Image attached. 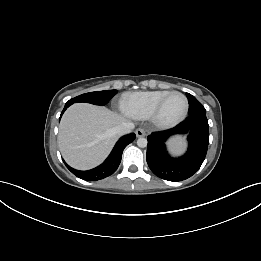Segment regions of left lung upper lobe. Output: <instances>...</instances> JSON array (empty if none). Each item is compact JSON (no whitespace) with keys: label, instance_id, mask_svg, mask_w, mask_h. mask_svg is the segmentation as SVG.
<instances>
[{"label":"left lung upper lobe","instance_id":"5c2ea615","mask_svg":"<svg viewBox=\"0 0 261 261\" xmlns=\"http://www.w3.org/2000/svg\"><path fill=\"white\" fill-rule=\"evenodd\" d=\"M189 102V112L188 114H195V113H203L206 114V110L204 106L191 94L186 93Z\"/></svg>","mask_w":261,"mask_h":261}]
</instances>
